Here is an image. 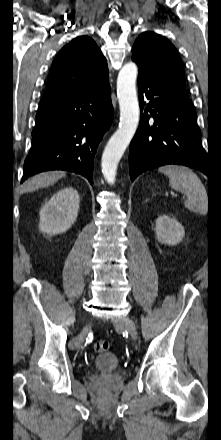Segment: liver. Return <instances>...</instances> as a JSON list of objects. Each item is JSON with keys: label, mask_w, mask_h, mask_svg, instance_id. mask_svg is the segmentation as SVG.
<instances>
[{"label": "liver", "mask_w": 221, "mask_h": 440, "mask_svg": "<svg viewBox=\"0 0 221 440\" xmlns=\"http://www.w3.org/2000/svg\"><path fill=\"white\" fill-rule=\"evenodd\" d=\"M66 173L63 171H52L40 173L28 181H26L22 187L24 192L34 191L39 188L48 187L56 183L59 179H61Z\"/></svg>", "instance_id": "liver-1"}]
</instances>
